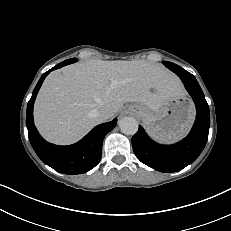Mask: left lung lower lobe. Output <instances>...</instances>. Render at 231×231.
Instances as JSON below:
<instances>
[{
	"label": "left lung lower lobe",
	"mask_w": 231,
	"mask_h": 231,
	"mask_svg": "<svg viewBox=\"0 0 231 231\" xmlns=\"http://www.w3.org/2000/svg\"><path fill=\"white\" fill-rule=\"evenodd\" d=\"M184 83L197 110L195 123L186 138L173 145L154 142L139 126L132 137L136 157L145 165L160 172H176L193 163L203 151L210 127L209 106L196 78L183 68H170Z\"/></svg>",
	"instance_id": "obj_1"
}]
</instances>
